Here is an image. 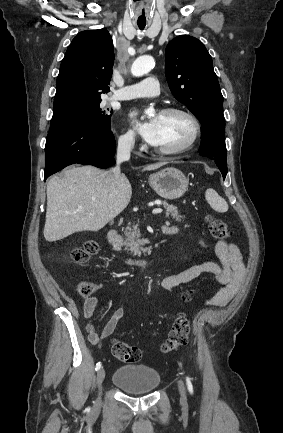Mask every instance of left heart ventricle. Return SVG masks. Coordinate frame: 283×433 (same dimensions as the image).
I'll use <instances>...</instances> for the list:
<instances>
[{"label":"left heart ventricle","instance_id":"obj_1","mask_svg":"<svg viewBox=\"0 0 283 433\" xmlns=\"http://www.w3.org/2000/svg\"><path fill=\"white\" fill-rule=\"evenodd\" d=\"M159 151H171L182 147L192 136L193 124L183 114H159Z\"/></svg>","mask_w":283,"mask_h":433}]
</instances>
